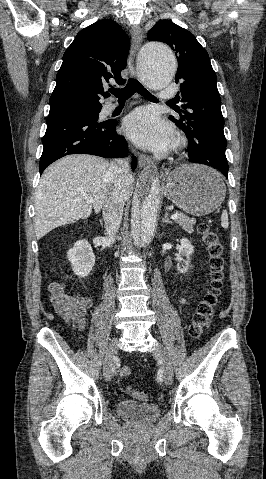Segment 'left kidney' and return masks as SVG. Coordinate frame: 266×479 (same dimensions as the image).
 Here are the masks:
<instances>
[{
	"label": "left kidney",
	"mask_w": 266,
	"mask_h": 479,
	"mask_svg": "<svg viewBox=\"0 0 266 479\" xmlns=\"http://www.w3.org/2000/svg\"><path fill=\"white\" fill-rule=\"evenodd\" d=\"M180 247L178 248L179 254L182 256L190 257L194 253V246L191 244V242L186 239L182 238L180 240ZM189 265L186 266H177V269L180 273L185 274L188 271Z\"/></svg>",
	"instance_id": "1"
}]
</instances>
